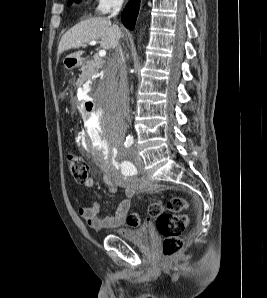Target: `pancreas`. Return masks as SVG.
Segmentation results:
<instances>
[{
  "instance_id": "pancreas-1",
  "label": "pancreas",
  "mask_w": 267,
  "mask_h": 298,
  "mask_svg": "<svg viewBox=\"0 0 267 298\" xmlns=\"http://www.w3.org/2000/svg\"><path fill=\"white\" fill-rule=\"evenodd\" d=\"M103 66V61L101 59L95 57L94 60L87 62V65L82 68V74L80 76L81 80L90 79L91 76L98 72Z\"/></svg>"
}]
</instances>
